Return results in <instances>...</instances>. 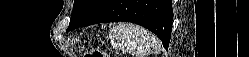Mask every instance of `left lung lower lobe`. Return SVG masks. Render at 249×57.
<instances>
[{"label": "left lung lower lobe", "mask_w": 249, "mask_h": 57, "mask_svg": "<svg viewBox=\"0 0 249 57\" xmlns=\"http://www.w3.org/2000/svg\"><path fill=\"white\" fill-rule=\"evenodd\" d=\"M172 20L171 0H108L99 12L80 26L115 21L136 23L155 33L167 49Z\"/></svg>", "instance_id": "left-lung-lower-lobe-1"}]
</instances>
